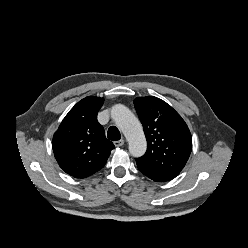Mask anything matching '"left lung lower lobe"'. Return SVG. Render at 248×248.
<instances>
[{
  "instance_id": "1",
  "label": "left lung lower lobe",
  "mask_w": 248,
  "mask_h": 248,
  "mask_svg": "<svg viewBox=\"0 0 248 248\" xmlns=\"http://www.w3.org/2000/svg\"><path fill=\"white\" fill-rule=\"evenodd\" d=\"M136 163H137L138 169L141 173H143L145 176L149 177L150 179H152L156 182L169 181V180L174 179L177 176V175L169 173V172H165V171H161V170H157V169H154L152 167H149V166L141 163L137 159H136Z\"/></svg>"
}]
</instances>
